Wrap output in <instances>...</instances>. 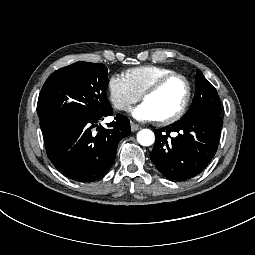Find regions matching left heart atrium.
<instances>
[{"instance_id":"39dd6f15","label":"left heart atrium","mask_w":255,"mask_h":255,"mask_svg":"<svg viewBox=\"0 0 255 255\" xmlns=\"http://www.w3.org/2000/svg\"><path fill=\"white\" fill-rule=\"evenodd\" d=\"M148 109L147 108H142L140 111H139V114L141 116H146L148 114Z\"/></svg>"}]
</instances>
